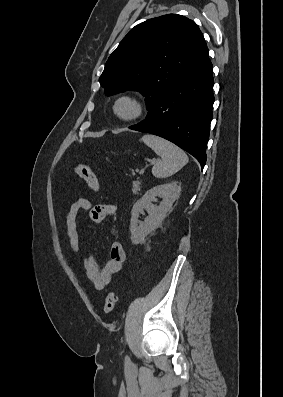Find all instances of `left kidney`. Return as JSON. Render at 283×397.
<instances>
[{"instance_id":"obj_1","label":"left kidney","mask_w":283,"mask_h":397,"mask_svg":"<svg viewBox=\"0 0 283 397\" xmlns=\"http://www.w3.org/2000/svg\"><path fill=\"white\" fill-rule=\"evenodd\" d=\"M181 191L180 185L175 182L155 186L148 190L133 206L131 211L130 232L131 241L137 245L143 243L146 237L159 227L172 209ZM157 197L162 198L159 206L153 204ZM146 210L148 216L144 222L138 220L139 214Z\"/></svg>"}]
</instances>
